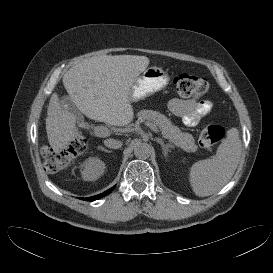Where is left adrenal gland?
I'll return each instance as SVG.
<instances>
[{
	"mask_svg": "<svg viewBox=\"0 0 273 273\" xmlns=\"http://www.w3.org/2000/svg\"><path fill=\"white\" fill-rule=\"evenodd\" d=\"M156 141L161 145L164 156H167L169 148H171L172 145L169 143L165 144L161 138H156Z\"/></svg>",
	"mask_w": 273,
	"mask_h": 273,
	"instance_id": "obj_1",
	"label": "left adrenal gland"
}]
</instances>
